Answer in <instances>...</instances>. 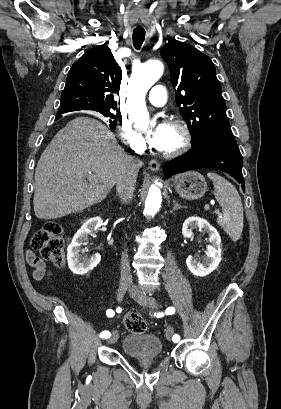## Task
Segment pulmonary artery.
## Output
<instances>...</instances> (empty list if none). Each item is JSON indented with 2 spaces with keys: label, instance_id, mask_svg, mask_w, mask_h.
Returning a JSON list of instances; mask_svg holds the SVG:
<instances>
[{
  "label": "pulmonary artery",
  "instance_id": "pulmonary-artery-1",
  "mask_svg": "<svg viewBox=\"0 0 281 409\" xmlns=\"http://www.w3.org/2000/svg\"><path fill=\"white\" fill-rule=\"evenodd\" d=\"M166 92L164 90L163 84L158 82L156 86L151 87V94L148 96V101L152 106H164Z\"/></svg>",
  "mask_w": 281,
  "mask_h": 409
}]
</instances>
